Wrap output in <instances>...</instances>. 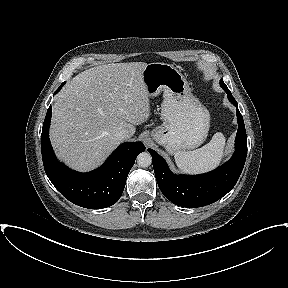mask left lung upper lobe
Instances as JSON below:
<instances>
[{
    "instance_id": "1",
    "label": "left lung upper lobe",
    "mask_w": 288,
    "mask_h": 288,
    "mask_svg": "<svg viewBox=\"0 0 288 288\" xmlns=\"http://www.w3.org/2000/svg\"><path fill=\"white\" fill-rule=\"evenodd\" d=\"M220 86H221L224 90L228 89V87H227L226 84L223 82V80L220 81Z\"/></svg>"
}]
</instances>
